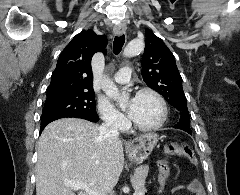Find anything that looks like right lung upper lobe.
<instances>
[{"label": "right lung upper lobe", "instance_id": "obj_1", "mask_svg": "<svg viewBox=\"0 0 240 195\" xmlns=\"http://www.w3.org/2000/svg\"><path fill=\"white\" fill-rule=\"evenodd\" d=\"M107 39L93 30L77 34L58 58L47 95L65 91H93L92 56L106 53Z\"/></svg>", "mask_w": 240, "mask_h": 195}]
</instances>
